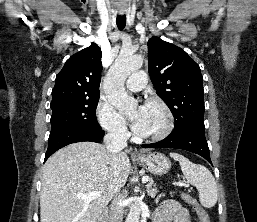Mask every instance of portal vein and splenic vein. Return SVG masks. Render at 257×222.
Returning <instances> with one entry per match:
<instances>
[{
  "label": "portal vein and splenic vein",
  "mask_w": 257,
  "mask_h": 222,
  "mask_svg": "<svg viewBox=\"0 0 257 222\" xmlns=\"http://www.w3.org/2000/svg\"><path fill=\"white\" fill-rule=\"evenodd\" d=\"M149 179L146 177V178H143V182H147ZM101 195L100 192H97V191H94V192H90V193H86V194H78V198H81L85 201H90V200H93V199H96L98 198L99 196Z\"/></svg>",
  "instance_id": "obj_1"
}]
</instances>
